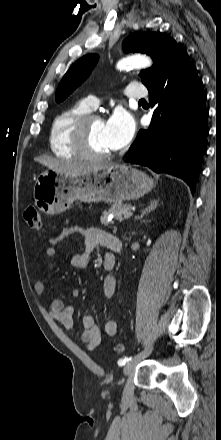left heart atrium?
<instances>
[{"instance_id":"left-heart-atrium-1","label":"left heart atrium","mask_w":221,"mask_h":440,"mask_svg":"<svg viewBox=\"0 0 221 440\" xmlns=\"http://www.w3.org/2000/svg\"><path fill=\"white\" fill-rule=\"evenodd\" d=\"M135 132L133 116L123 108H118L105 122L104 134L111 150L127 145Z\"/></svg>"}]
</instances>
